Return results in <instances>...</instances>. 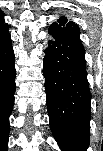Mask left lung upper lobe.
<instances>
[{
  "mask_svg": "<svg viewBox=\"0 0 103 151\" xmlns=\"http://www.w3.org/2000/svg\"><path fill=\"white\" fill-rule=\"evenodd\" d=\"M73 24H74V22L71 19L62 17V18L58 19L57 22L53 23L51 25V27L55 28L56 30H64Z\"/></svg>",
  "mask_w": 103,
  "mask_h": 151,
  "instance_id": "left-lung-upper-lobe-1",
  "label": "left lung upper lobe"
}]
</instances>
